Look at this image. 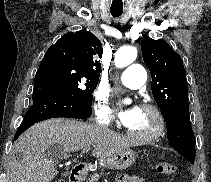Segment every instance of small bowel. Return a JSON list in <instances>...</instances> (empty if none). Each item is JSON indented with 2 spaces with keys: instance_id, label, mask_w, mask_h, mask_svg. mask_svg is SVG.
<instances>
[{
  "instance_id": "1",
  "label": "small bowel",
  "mask_w": 211,
  "mask_h": 182,
  "mask_svg": "<svg viewBox=\"0 0 211 182\" xmlns=\"http://www.w3.org/2000/svg\"><path fill=\"white\" fill-rule=\"evenodd\" d=\"M116 182H143V180L135 176L121 175L117 178Z\"/></svg>"
}]
</instances>
